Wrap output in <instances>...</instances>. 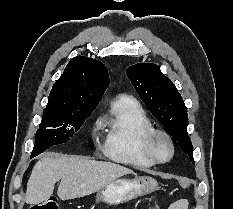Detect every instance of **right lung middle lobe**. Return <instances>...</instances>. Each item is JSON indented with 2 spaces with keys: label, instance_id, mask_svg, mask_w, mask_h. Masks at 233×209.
<instances>
[{
  "label": "right lung middle lobe",
  "instance_id": "right-lung-middle-lobe-1",
  "mask_svg": "<svg viewBox=\"0 0 233 209\" xmlns=\"http://www.w3.org/2000/svg\"><path fill=\"white\" fill-rule=\"evenodd\" d=\"M95 106L73 108L60 114H43L40 129L36 132L34 157L53 145L68 142L94 111Z\"/></svg>",
  "mask_w": 233,
  "mask_h": 209
}]
</instances>
